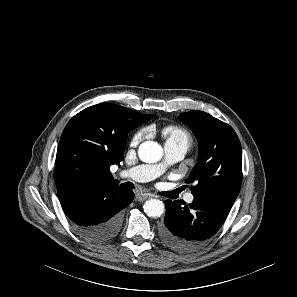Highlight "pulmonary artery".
Segmentation results:
<instances>
[{
    "mask_svg": "<svg viewBox=\"0 0 297 297\" xmlns=\"http://www.w3.org/2000/svg\"><path fill=\"white\" fill-rule=\"evenodd\" d=\"M189 147L190 145L185 142L165 143V158L163 162L152 165H138L131 169L121 171L119 175L123 178H128L136 182L151 181L161 175L169 165L183 159L188 152ZM185 200L188 203L192 202L193 195L187 194L185 196Z\"/></svg>",
    "mask_w": 297,
    "mask_h": 297,
    "instance_id": "obj_1",
    "label": "pulmonary artery"
}]
</instances>
